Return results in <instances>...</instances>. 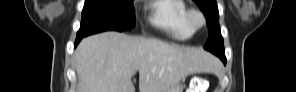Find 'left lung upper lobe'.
<instances>
[{
    "label": "left lung upper lobe",
    "instance_id": "left-lung-upper-lobe-1",
    "mask_svg": "<svg viewBox=\"0 0 296 92\" xmlns=\"http://www.w3.org/2000/svg\"><path fill=\"white\" fill-rule=\"evenodd\" d=\"M206 17L208 40L204 48L214 54L225 56L223 38L219 27V13L216 0H194ZM219 57V56H218Z\"/></svg>",
    "mask_w": 296,
    "mask_h": 92
}]
</instances>
